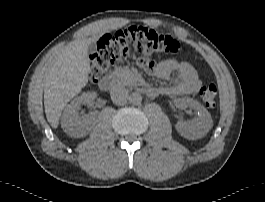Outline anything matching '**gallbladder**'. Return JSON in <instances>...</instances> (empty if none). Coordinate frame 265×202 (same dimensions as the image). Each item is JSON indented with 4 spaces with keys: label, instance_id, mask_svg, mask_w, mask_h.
I'll return each instance as SVG.
<instances>
[{
    "label": "gallbladder",
    "instance_id": "obj_1",
    "mask_svg": "<svg viewBox=\"0 0 265 202\" xmlns=\"http://www.w3.org/2000/svg\"><path fill=\"white\" fill-rule=\"evenodd\" d=\"M87 50H88V53H89V54H93V53H95L96 50H97L96 43H95V42H91V43H89V44H88V48H87Z\"/></svg>",
    "mask_w": 265,
    "mask_h": 202
}]
</instances>
